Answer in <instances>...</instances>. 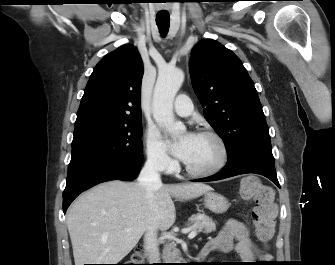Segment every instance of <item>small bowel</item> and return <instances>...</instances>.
Listing matches in <instances>:
<instances>
[{
    "mask_svg": "<svg viewBox=\"0 0 335 265\" xmlns=\"http://www.w3.org/2000/svg\"><path fill=\"white\" fill-rule=\"evenodd\" d=\"M206 245L213 247V251L230 252L235 250L245 261L269 258V255L263 254L254 244L245 224L236 219L228 220L219 234Z\"/></svg>",
    "mask_w": 335,
    "mask_h": 265,
    "instance_id": "c3829d8e",
    "label": "small bowel"
}]
</instances>
